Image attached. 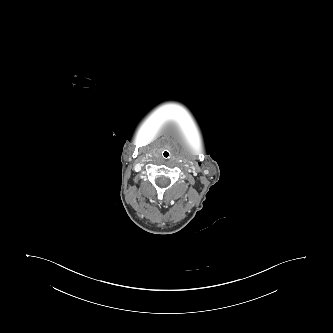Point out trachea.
I'll list each match as a JSON object with an SVG mask.
<instances>
[{
  "label": "trachea",
  "mask_w": 333,
  "mask_h": 333,
  "mask_svg": "<svg viewBox=\"0 0 333 333\" xmlns=\"http://www.w3.org/2000/svg\"><path fill=\"white\" fill-rule=\"evenodd\" d=\"M169 153L167 151L164 152V157H168Z\"/></svg>",
  "instance_id": "3493384b"
}]
</instances>
